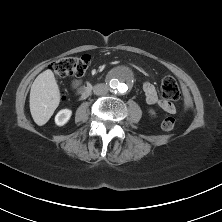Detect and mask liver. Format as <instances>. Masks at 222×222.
I'll use <instances>...</instances> for the list:
<instances>
[{
	"instance_id": "obj_1",
	"label": "liver",
	"mask_w": 222,
	"mask_h": 222,
	"mask_svg": "<svg viewBox=\"0 0 222 222\" xmlns=\"http://www.w3.org/2000/svg\"><path fill=\"white\" fill-rule=\"evenodd\" d=\"M29 102L34 122L39 126L46 124L60 103V90L51 70H45L36 77Z\"/></svg>"
}]
</instances>
